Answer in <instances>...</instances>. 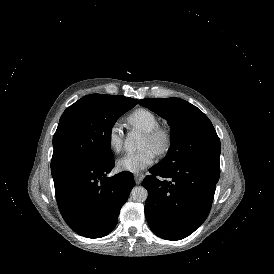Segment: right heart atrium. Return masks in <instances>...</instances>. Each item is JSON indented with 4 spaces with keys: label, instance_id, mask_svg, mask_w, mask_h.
<instances>
[{
    "label": "right heart atrium",
    "instance_id": "obj_1",
    "mask_svg": "<svg viewBox=\"0 0 274 274\" xmlns=\"http://www.w3.org/2000/svg\"><path fill=\"white\" fill-rule=\"evenodd\" d=\"M108 146L112 151L118 152L121 150L123 141L120 125L118 123L112 124L107 132Z\"/></svg>",
    "mask_w": 274,
    "mask_h": 274
}]
</instances>
